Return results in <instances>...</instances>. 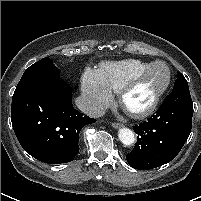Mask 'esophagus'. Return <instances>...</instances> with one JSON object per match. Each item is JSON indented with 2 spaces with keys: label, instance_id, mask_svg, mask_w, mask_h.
Listing matches in <instances>:
<instances>
[{
  "label": "esophagus",
  "instance_id": "esophagus-1",
  "mask_svg": "<svg viewBox=\"0 0 201 201\" xmlns=\"http://www.w3.org/2000/svg\"><path fill=\"white\" fill-rule=\"evenodd\" d=\"M123 125L121 123H118V122H113L112 123V127L115 128V129H118L120 127H122Z\"/></svg>",
  "mask_w": 201,
  "mask_h": 201
}]
</instances>
